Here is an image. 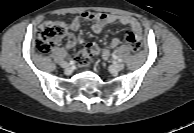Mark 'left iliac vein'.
Instances as JSON below:
<instances>
[{
	"instance_id": "obj_1",
	"label": "left iliac vein",
	"mask_w": 194,
	"mask_h": 133,
	"mask_svg": "<svg viewBox=\"0 0 194 133\" xmlns=\"http://www.w3.org/2000/svg\"><path fill=\"white\" fill-rule=\"evenodd\" d=\"M125 67V65L123 63H116V64H113L109 67V70L112 72V73H116V72H119L121 70H123Z\"/></svg>"
}]
</instances>
